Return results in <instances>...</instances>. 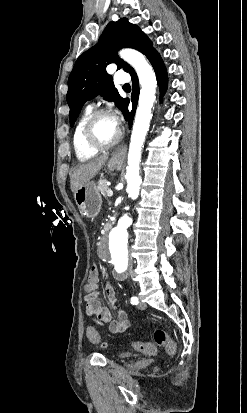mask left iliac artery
Here are the masks:
<instances>
[{
  "label": "left iliac artery",
  "mask_w": 247,
  "mask_h": 413,
  "mask_svg": "<svg viewBox=\"0 0 247 413\" xmlns=\"http://www.w3.org/2000/svg\"><path fill=\"white\" fill-rule=\"evenodd\" d=\"M131 304L137 305L138 304V298L137 297H132L131 298Z\"/></svg>",
  "instance_id": "1"
}]
</instances>
